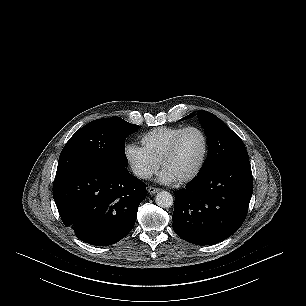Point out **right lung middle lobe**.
Here are the masks:
<instances>
[{"label":"right lung middle lobe","instance_id":"obj_1","mask_svg":"<svg viewBox=\"0 0 306 306\" xmlns=\"http://www.w3.org/2000/svg\"><path fill=\"white\" fill-rule=\"evenodd\" d=\"M138 125L120 117L97 119L79 129L64 146L56 176L83 165L124 166L125 140Z\"/></svg>","mask_w":306,"mask_h":306}]
</instances>
